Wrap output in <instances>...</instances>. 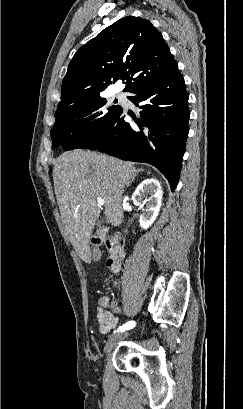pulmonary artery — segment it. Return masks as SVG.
Segmentation results:
<instances>
[{
    "label": "pulmonary artery",
    "instance_id": "pulmonary-artery-1",
    "mask_svg": "<svg viewBox=\"0 0 243 409\" xmlns=\"http://www.w3.org/2000/svg\"><path fill=\"white\" fill-rule=\"evenodd\" d=\"M117 96H118L119 99H123V98H124L123 94H118Z\"/></svg>",
    "mask_w": 243,
    "mask_h": 409
}]
</instances>
